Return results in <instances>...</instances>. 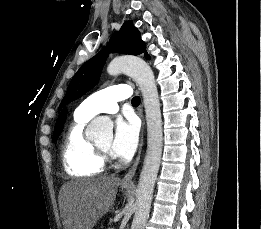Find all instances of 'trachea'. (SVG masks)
I'll return each mask as SVG.
<instances>
[{
	"mask_svg": "<svg viewBox=\"0 0 261 229\" xmlns=\"http://www.w3.org/2000/svg\"><path fill=\"white\" fill-rule=\"evenodd\" d=\"M140 97H138V95H136L135 97H133L132 99V105L134 106H138L140 104Z\"/></svg>",
	"mask_w": 261,
	"mask_h": 229,
	"instance_id": "1",
	"label": "trachea"
}]
</instances>
